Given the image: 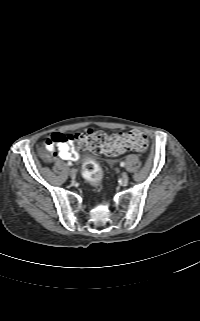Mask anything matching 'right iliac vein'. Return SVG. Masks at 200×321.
<instances>
[{"mask_svg":"<svg viewBox=\"0 0 200 321\" xmlns=\"http://www.w3.org/2000/svg\"><path fill=\"white\" fill-rule=\"evenodd\" d=\"M69 172H70V176H71L72 178H75V176H76V171H75V169H74V168H71Z\"/></svg>","mask_w":200,"mask_h":321,"instance_id":"right-iliac-vein-1","label":"right iliac vein"}]
</instances>
